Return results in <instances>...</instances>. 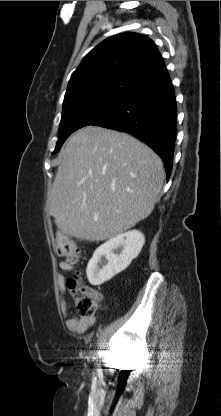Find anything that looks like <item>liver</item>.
<instances>
[{
    "label": "liver",
    "instance_id": "obj_1",
    "mask_svg": "<svg viewBox=\"0 0 221 416\" xmlns=\"http://www.w3.org/2000/svg\"><path fill=\"white\" fill-rule=\"evenodd\" d=\"M164 178L162 160L146 144L87 126L66 143L48 194L49 213L63 233L103 241L151 214Z\"/></svg>",
    "mask_w": 221,
    "mask_h": 416
}]
</instances>
